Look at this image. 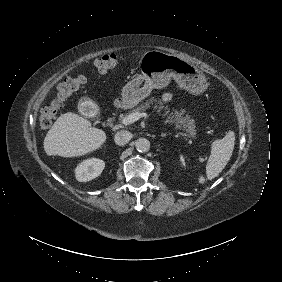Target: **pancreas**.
Returning a JSON list of instances; mask_svg holds the SVG:
<instances>
[{"mask_svg": "<svg viewBox=\"0 0 282 282\" xmlns=\"http://www.w3.org/2000/svg\"><path fill=\"white\" fill-rule=\"evenodd\" d=\"M156 103V100H154V98H150L146 103L139 105L136 109H131L128 111V113L123 116L121 115L122 119H125L128 117V115L136 112V111H143L146 108H149L152 103ZM159 108H163V106L161 104H159L158 106ZM165 110H167V108H165ZM166 122L168 124H175V130H182L185 131L187 133H189L190 136L195 137L196 136V131L194 129L195 125H194V121L191 120L188 116H184L183 113L181 111L178 110H174V112L171 113L170 116H168L166 118ZM186 125V126H183Z\"/></svg>", "mask_w": 282, "mask_h": 282, "instance_id": "cf45deb5", "label": "pancreas"}]
</instances>
